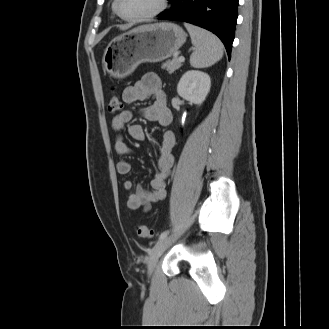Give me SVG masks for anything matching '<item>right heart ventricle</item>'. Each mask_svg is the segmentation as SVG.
I'll return each instance as SVG.
<instances>
[{
	"label": "right heart ventricle",
	"instance_id": "obj_1",
	"mask_svg": "<svg viewBox=\"0 0 329 329\" xmlns=\"http://www.w3.org/2000/svg\"><path fill=\"white\" fill-rule=\"evenodd\" d=\"M112 9H113V11H114V2H113V4H112Z\"/></svg>",
	"mask_w": 329,
	"mask_h": 329
}]
</instances>
